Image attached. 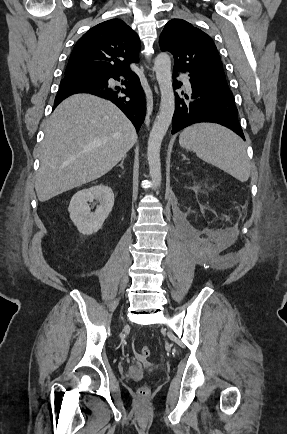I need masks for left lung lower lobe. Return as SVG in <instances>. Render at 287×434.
Segmentation results:
<instances>
[{"label": "left lung lower lobe", "mask_w": 287, "mask_h": 434, "mask_svg": "<svg viewBox=\"0 0 287 434\" xmlns=\"http://www.w3.org/2000/svg\"><path fill=\"white\" fill-rule=\"evenodd\" d=\"M173 87L178 89L182 82L176 81L178 72L185 71L173 68ZM192 94L181 99L175 94V112L172 118V131L174 134L181 129L200 122H213L221 124L235 131L244 140V134L238 121V110L234 103L232 92L215 85L199 75L190 73Z\"/></svg>", "instance_id": "1"}]
</instances>
